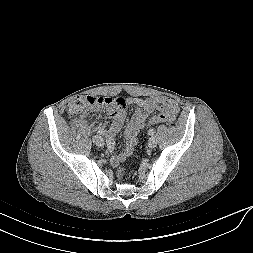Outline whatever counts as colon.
I'll return each instance as SVG.
<instances>
[{"instance_id":"colon-1","label":"colon","mask_w":253,"mask_h":253,"mask_svg":"<svg viewBox=\"0 0 253 253\" xmlns=\"http://www.w3.org/2000/svg\"><path fill=\"white\" fill-rule=\"evenodd\" d=\"M126 109V102L124 99H112L101 96H81L77 97L72 103H70L68 110L72 115H85L94 112H104L108 117L114 118L116 114L124 112ZM176 120V115L164 114L159 115L152 120L151 124L159 122L172 123ZM118 176L122 178L124 176V169L120 168L117 172Z\"/></svg>"}]
</instances>
